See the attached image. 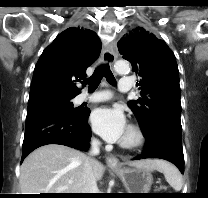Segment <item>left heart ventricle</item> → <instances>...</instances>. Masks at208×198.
Masks as SVG:
<instances>
[{
  "instance_id": "obj_1",
  "label": "left heart ventricle",
  "mask_w": 208,
  "mask_h": 198,
  "mask_svg": "<svg viewBox=\"0 0 208 198\" xmlns=\"http://www.w3.org/2000/svg\"><path fill=\"white\" fill-rule=\"evenodd\" d=\"M131 138H132V133L130 132L129 129H127L125 134H124V136H123V138H122V140H129Z\"/></svg>"
}]
</instances>
